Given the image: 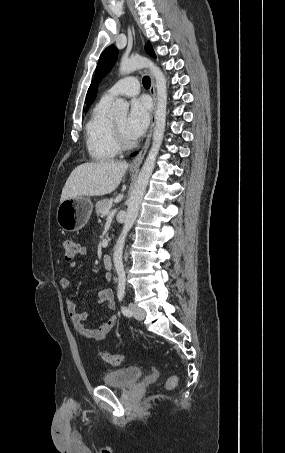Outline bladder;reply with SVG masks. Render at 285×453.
I'll return each mask as SVG.
<instances>
[{"mask_svg": "<svg viewBox=\"0 0 285 453\" xmlns=\"http://www.w3.org/2000/svg\"><path fill=\"white\" fill-rule=\"evenodd\" d=\"M143 374L141 367L128 366L104 372L101 381L109 387L126 388L136 383Z\"/></svg>", "mask_w": 285, "mask_h": 453, "instance_id": "bladder-1", "label": "bladder"}]
</instances>
